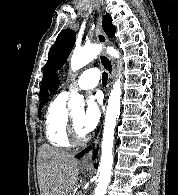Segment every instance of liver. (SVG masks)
I'll return each mask as SVG.
<instances>
[{
  "mask_svg": "<svg viewBox=\"0 0 178 195\" xmlns=\"http://www.w3.org/2000/svg\"><path fill=\"white\" fill-rule=\"evenodd\" d=\"M37 174L41 195H69L78 179L79 161L43 144L38 151Z\"/></svg>",
  "mask_w": 178,
  "mask_h": 195,
  "instance_id": "1",
  "label": "liver"
}]
</instances>
